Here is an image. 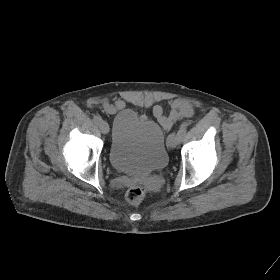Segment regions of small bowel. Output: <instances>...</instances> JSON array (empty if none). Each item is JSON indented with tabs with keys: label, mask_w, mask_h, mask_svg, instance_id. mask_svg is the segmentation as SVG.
Here are the masks:
<instances>
[{
	"label": "small bowel",
	"mask_w": 280,
	"mask_h": 280,
	"mask_svg": "<svg viewBox=\"0 0 280 280\" xmlns=\"http://www.w3.org/2000/svg\"><path fill=\"white\" fill-rule=\"evenodd\" d=\"M102 104L104 109L108 113H114L125 107V102L122 99H119L114 103H111L109 100L106 99L102 102ZM193 112L194 110L191 104L182 99H174L171 102V110L168 114H165L163 112V109L160 105H156L153 108L154 116L157 118L160 124L167 130L170 129L177 120L181 118L191 117L193 115Z\"/></svg>",
	"instance_id": "1"
}]
</instances>
